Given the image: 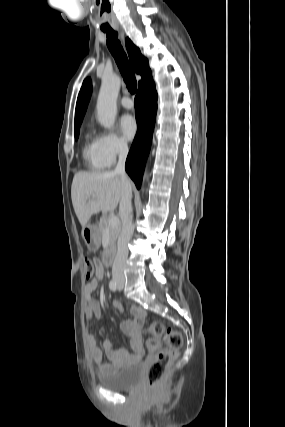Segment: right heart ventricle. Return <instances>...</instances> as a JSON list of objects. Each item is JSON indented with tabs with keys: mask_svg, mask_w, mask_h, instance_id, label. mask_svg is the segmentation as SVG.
Wrapping results in <instances>:
<instances>
[{
	"mask_svg": "<svg viewBox=\"0 0 285 427\" xmlns=\"http://www.w3.org/2000/svg\"><path fill=\"white\" fill-rule=\"evenodd\" d=\"M82 157L86 166L91 170H102L108 166L98 144V137L88 132L82 149Z\"/></svg>",
	"mask_w": 285,
	"mask_h": 427,
	"instance_id": "e07e8e85",
	"label": "right heart ventricle"
}]
</instances>
